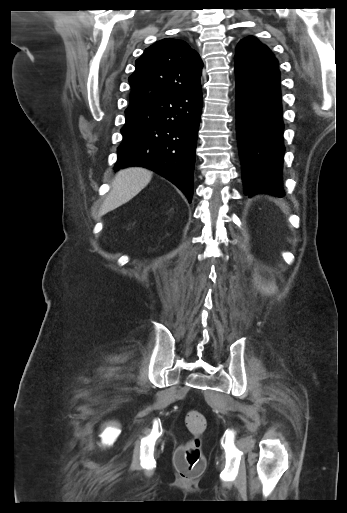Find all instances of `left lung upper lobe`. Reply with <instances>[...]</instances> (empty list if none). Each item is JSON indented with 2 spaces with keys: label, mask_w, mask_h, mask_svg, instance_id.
I'll return each instance as SVG.
<instances>
[{
  "label": "left lung upper lobe",
  "mask_w": 347,
  "mask_h": 513,
  "mask_svg": "<svg viewBox=\"0 0 347 513\" xmlns=\"http://www.w3.org/2000/svg\"><path fill=\"white\" fill-rule=\"evenodd\" d=\"M235 59L236 61L241 60L260 67H278V61L269 48L261 44L253 36H248L238 43Z\"/></svg>",
  "instance_id": "1"
}]
</instances>
